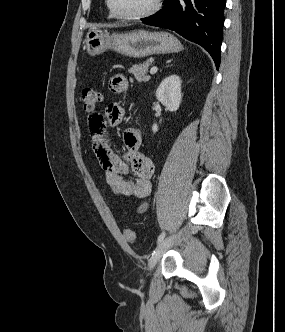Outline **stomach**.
I'll use <instances>...</instances> for the list:
<instances>
[{
	"instance_id": "obj_1",
	"label": "stomach",
	"mask_w": 285,
	"mask_h": 332,
	"mask_svg": "<svg viewBox=\"0 0 285 332\" xmlns=\"http://www.w3.org/2000/svg\"><path fill=\"white\" fill-rule=\"evenodd\" d=\"M84 49L91 56L113 50L128 57L143 58L154 54L178 52L180 42L168 32L133 31L109 35L92 28L86 33Z\"/></svg>"
}]
</instances>
